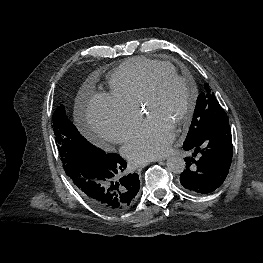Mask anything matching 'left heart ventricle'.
<instances>
[{"label":"left heart ventricle","instance_id":"obj_1","mask_svg":"<svg viewBox=\"0 0 263 263\" xmlns=\"http://www.w3.org/2000/svg\"><path fill=\"white\" fill-rule=\"evenodd\" d=\"M188 101L189 94L183 84L168 80L161 85L157 95L146 104L144 114L149 118H159L174 128Z\"/></svg>","mask_w":263,"mask_h":263}]
</instances>
